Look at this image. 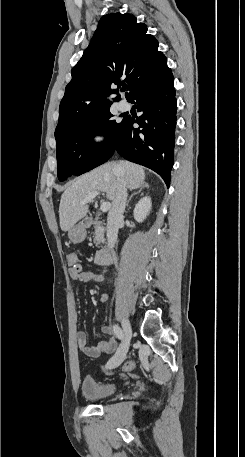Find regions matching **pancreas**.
I'll list each match as a JSON object with an SVG mask.
<instances>
[{"label": "pancreas", "instance_id": "obj_1", "mask_svg": "<svg viewBox=\"0 0 245 457\" xmlns=\"http://www.w3.org/2000/svg\"><path fill=\"white\" fill-rule=\"evenodd\" d=\"M92 224H94V235L95 239H93V243H95L96 247H99L101 243H105L104 233L105 229L104 226H101V222L99 220H93Z\"/></svg>", "mask_w": 245, "mask_h": 457}]
</instances>
